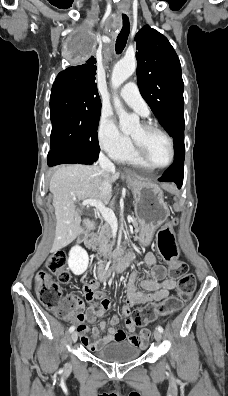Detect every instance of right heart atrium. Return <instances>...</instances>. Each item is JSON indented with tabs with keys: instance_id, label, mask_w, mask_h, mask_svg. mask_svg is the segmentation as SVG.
<instances>
[{
	"instance_id": "obj_1",
	"label": "right heart atrium",
	"mask_w": 228,
	"mask_h": 396,
	"mask_svg": "<svg viewBox=\"0 0 228 396\" xmlns=\"http://www.w3.org/2000/svg\"><path fill=\"white\" fill-rule=\"evenodd\" d=\"M97 139L100 147L111 158L120 160L131 150L129 138L122 135L110 116L102 112L97 126Z\"/></svg>"
}]
</instances>
